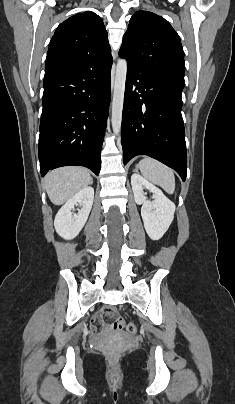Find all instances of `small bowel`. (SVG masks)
Listing matches in <instances>:
<instances>
[{"instance_id": "c3829d8e", "label": "small bowel", "mask_w": 235, "mask_h": 404, "mask_svg": "<svg viewBox=\"0 0 235 404\" xmlns=\"http://www.w3.org/2000/svg\"><path fill=\"white\" fill-rule=\"evenodd\" d=\"M105 316V313H104V308L103 309H101L95 316H94V318H93V321L94 320H102V318ZM90 331H91V333H95V326H94V324H92L91 326H90Z\"/></svg>"}]
</instances>
